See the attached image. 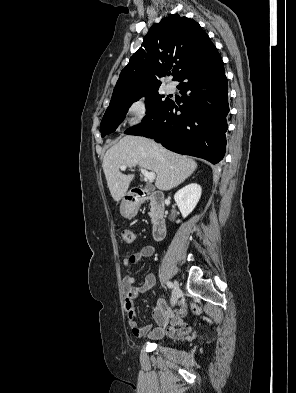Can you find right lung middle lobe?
I'll return each mask as SVG.
<instances>
[{"instance_id":"dd1d6c3e","label":"right lung middle lobe","mask_w":296,"mask_h":393,"mask_svg":"<svg viewBox=\"0 0 296 393\" xmlns=\"http://www.w3.org/2000/svg\"><path fill=\"white\" fill-rule=\"evenodd\" d=\"M142 96L145 97L147 114L143 120H150L154 118L170 100L169 98H166L163 101L162 98L164 95H160L158 93V88H156L138 93L126 99L111 101L100 124L101 136L104 137L105 135L114 132L124 120L131 104L139 100Z\"/></svg>"}]
</instances>
